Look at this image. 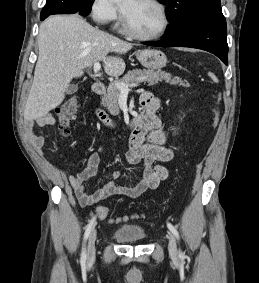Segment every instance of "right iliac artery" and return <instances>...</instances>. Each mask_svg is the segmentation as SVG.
I'll return each instance as SVG.
<instances>
[{
  "mask_svg": "<svg viewBox=\"0 0 259 283\" xmlns=\"http://www.w3.org/2000/svg\"><path fill=\"white\" fill-rule=\"evenodd\" d=\"M95 220H96V217L94 216L90 223L87 225V228H86V231L84 233V244H83V248H82V253H81V259H80V262L81 264H85L86 262V248H85V242L86 240L88 239L94 225H95Z\"/></svg>",
  "mask_w": 259,
  "mask_h": 283,
  "instance_id": "right-iliac-artery-1",
  "label": "right iliac artery"
}]
</instances>
